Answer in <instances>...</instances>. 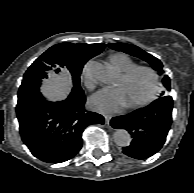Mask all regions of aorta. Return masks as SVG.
<instances>
[{"instance_id": "1", "label": "aorta", "mask_w": 194, "mask_h": 193, "mask_svg": "<svg viewBox=\"0 0 194 193\" xmlns=\"http://www.w3.org/2000/svg\"><path fill=\"white\" fill-rule=\"evenodd\" d=\"M91 75L104 84L113 82L115 75L111 69L98 62H92L89 65ZM114 143L118 146L125 147L131 142L130 134L127 130L118 129L113 135Z\"/></svg>"}]
</instances>
